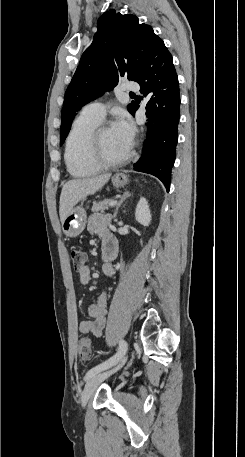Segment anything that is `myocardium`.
I'll list each match as a JSON object with an SVG mask.
<instances>
[{"mask_svg": "<svg viewBox=\"0 0 245 457\" xmlns=\"http://www.w3.org/2000/svg\"><path fill=\"white\" fill-rule=\"evenodd\" d=\"M111 128L110 125L105 123H99L91 128L84 139L83 151L81 153L82 161L95 170L105 169L117 166L121 163L126 162L131 157V146L128 147L126 153L118 158H105L102 160H96L92 155V146L95 139L104 131Z\"/></svg>", "mask_w": 245, "mask_h": 457, "instance_id": "obj_1", "label": "myocardium"}]
</instances>
